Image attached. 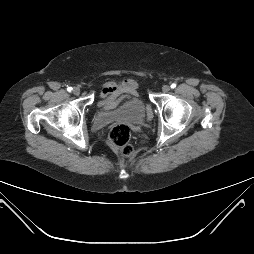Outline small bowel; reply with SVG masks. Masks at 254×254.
I'll return each instance as SVG.
<instances>
[{
    "label": "small bowel",
    "mask_w": 254,
    "mask_h": 254,
    "mask_svg": "<svg viewBox=\"0 0 254 254\" xmlns=\"http://www.w3.org/2000/svg\"><path fill=\"white\" fill-rule=\"evenodd\" d=\"M137 90L138 81L135 79L109 81L100 89L98 108L100 110L113 109L121 99L137 97Z\"/></svg>",
    "instance_id": "1"
}]
</instances>
